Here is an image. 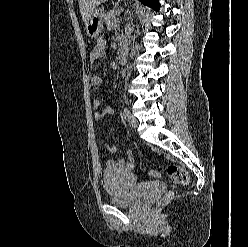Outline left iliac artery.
<instances>
[{
    "instance_id": "44dca946",
    "label": "left iliac artery",
    "mask_w": 248,
    "mask_h": 247,
    "mask_svg": "<svg viewBox=\"0 0 248 247\" xmlns=\"http://www.w3.org/2000/svg\"><path fill=\"white\" fill-rule=\"evenodd\" d=\"M129 116H130L129 110L127 108H124V111H123L124 119H128Z\"/></svg>"
}]
</instances>
